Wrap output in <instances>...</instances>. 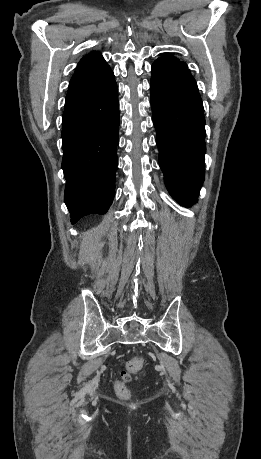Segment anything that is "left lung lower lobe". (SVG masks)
Returning a JSON list of instances; mask_svg holds the SVG:
<instances>
[{
    "label": "left lung lower lobe",
    "instance_id": "0a47b994",
    "mask_svg": "<svg viewBox=\"0 0 261 459\" xmlns=\"http://www.w3.org/2000/svg\"><path fill=\"white\" fill-rule=\"evenodd\" d=\"M150 82L159 165L166 187L183 206L197 201L204 181L205 119L187 67L154 62Z\"/></svg>",
    "mask_w": 261,
    "mask_h": 459
}]
</instances>
